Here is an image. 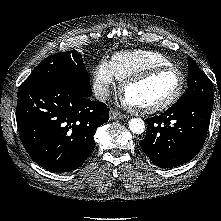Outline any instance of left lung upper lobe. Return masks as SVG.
<instances>
[{"label": "left lung upper lobe", "mask_w": 221, "mask_h": 221, "mask_svg": "<svg viewBox=\"0 0 221 221\" xmlns=\"http://www.w3.org/2000/svg\"><path fill=\"white\" fill-rule=\"evenodd\" d=\"M188 90L174 104L178 105L191 99L213 100L214 92L210 79L199 69L197 63L188 58Z\"/></svg>", "instance_id": "left-lung-upper-lobe-1"}]
</instances>
